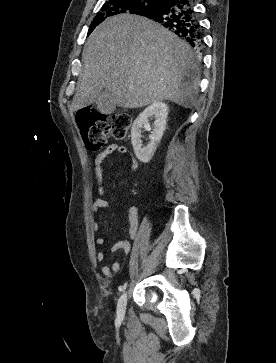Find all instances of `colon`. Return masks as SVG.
I'll return each mask as SVG.
<instances>
[{
	"instance_id": "1",
	"label": "colon",
	"mask_w": 276,
	"mask_h": 363,
	"mask_svg": "<svg viewBox=\"0 0 276 363\" xmlns=\"http://www.w3.org/2000/svg\"><path fill=\"white\" fill-rule=\"evenodd\" d=\"M77 124L86 147L90 151H98L108 137L124 139L131 118L125 113L104 114L82 108L77 111Z\"/></svg>"
}]
</instances>
